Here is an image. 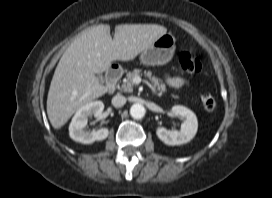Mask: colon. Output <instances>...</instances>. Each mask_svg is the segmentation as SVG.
Listing matches in <instances>:
<instances>
[{"label": "colon", "mask_w": 272, "mask_h": 198, "mask_svg": "<svg viewBox=\"0 0 272 198\" xmlns=\"http://www.w3.org/2000/svg\"><path fill=\"white\" fill-rule=\"evenodd\" d=\"M181 69L190 75L198 74L202 65L200 60L189 51H182L178 57ZM201 102L205 109L213 110L216 107L217 99L213 91H205L201 96Z\"/></svg>", "instance_id": "colon-1"}]
</instances>
